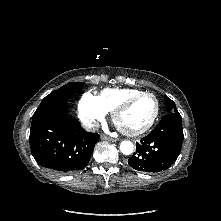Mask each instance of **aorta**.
<instances>
[{"label":"aorta","mask_w":221,"mask_h":221,"mask_svg":"<svg viewBox=\"0 0 221 221\" xmlns=\"http://www.w3.org/2000/svg\"><path fill=\"white\" fill-rule=\"evenodd\" d=\"M134 145L131 141L125 140L120 143V151L125 155L133 153Z\"/></svg>","instance_id":"aorta-1"}]
</instances>
